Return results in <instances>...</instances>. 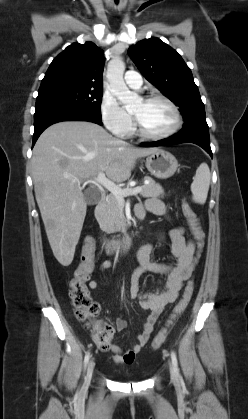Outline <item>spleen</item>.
Masks as SVG:
<instances>
[{"instance_id": "obj_1", "label": "spleen", "mask_w": 248, "mask_h": 419, "mask_svg": "<svg viewBox=\"0 0 248 419\" xmlns=\"http://www.w3.org/2000/svg\"><path fill=\"white\" fill-rule=\"evenodd\" d=\"M210 169L206 163L200 164L191 184L192 199L194 202L204 204L207 199L210 185Z\"/></svg>"}]
</instances>
